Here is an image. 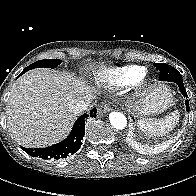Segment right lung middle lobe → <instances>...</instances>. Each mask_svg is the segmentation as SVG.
I'll return each instance as SVG.
<instances>
[{"instance_id": "obj_1", "label": "right lung middle lobe", "mask_w": 196, "mask_h": 196, "mask_svg": "<svg viewBox=\"0 0 196 196\" xmlns=\"http://www.w3.org/2000/svg\"><path fill=\"white\" fill-rule=\"evenodd\" d=\"M60 63H61V60H59V59L39 60V61H36V62L32 63L28 67H26L23 70V73L27 72L28 70H31V69H34V68H40V67L56 68Z\"/></svg>"}]
</instances>
